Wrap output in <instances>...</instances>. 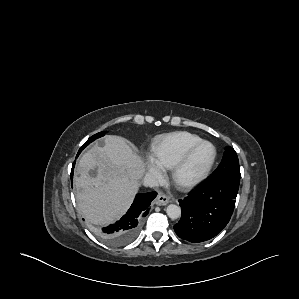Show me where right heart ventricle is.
Returning a JSON list of instances; mask_svg holds the SVG:
<instances>
[{
  "label": "right heart ventricle",
  "instance_id": "e07e8e85",
  "mask_svg": "<svg viewBox=\"0 0 299 299\" xmlns=\"http://www.w3.org/2000/svg\"><path fill=\"white\" fill-rule=\"evenodd\" d=\"M202 141L188 132H174L158 137L153 145L154 159L162 168L173 169L186 152Z\"/></svg>",
  "mask_w": 299,
  "mask_h": 299
}]
</instances>
